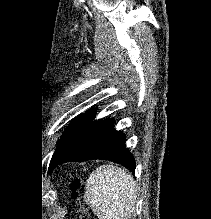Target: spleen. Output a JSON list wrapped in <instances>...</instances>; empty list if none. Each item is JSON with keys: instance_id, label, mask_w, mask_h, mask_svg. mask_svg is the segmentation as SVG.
Here are the masks:
<instances>
[{"instance_id": "obj_1", "label": "spleen", "mask_w": 211, "mask_h": 219, "mask_svg": "<svg viewBox=\"0 0 211 219\" xmlns=\"http://www.w3.org/2000/svg\"><path fill=\"white\" fill-rule=\"evenodd\" d=\"M135 200L133 178L122 168L102 165L87 180L84 201L99 219H130Z\"/></svg>"}]
</instances>
